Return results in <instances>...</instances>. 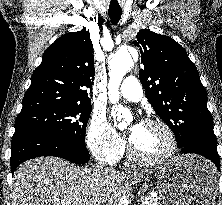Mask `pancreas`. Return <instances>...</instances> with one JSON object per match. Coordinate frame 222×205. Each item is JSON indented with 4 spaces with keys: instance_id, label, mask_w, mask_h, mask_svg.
Instances as JSON below:
<instances>
[{
    "instance_id": "cf45deb5",
    "label": "pancreas",
    "mask_w": 222,
    "mask_h": 205,
    "mask_svg": "<svg viewBox=\"0 0 222 205\" xmlns=\"http://www.w3.org/2000/svg\"><path fill=\"white\" fill-rule=\"evenodd\" d=\"M140 205H161L158 198H154L152 196H143L140 199Z\"/></svg>"
}]
</instances>
